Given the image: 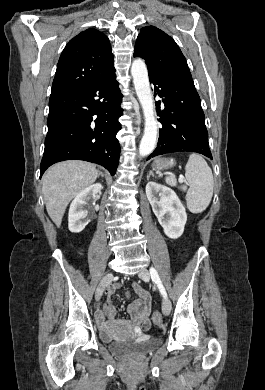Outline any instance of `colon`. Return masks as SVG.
<instances>
[{"instance_id":"5ec220e1","label":"colon","mask_w":265,"mask_h":390,"mask_svg":"<svg viewBox=\"0 0 265 390\" xmlns=\"http://www.w3.org/2000/svg\"><path fill=\"white\" fill-rule=\"evenodd\" d=\"M126 297H128V296H126ZM152 319H153V322H154V324L156 326H161L162 325V317H161L159 312L155 311L153 313Z\"/></svg>"}]
</instances>
